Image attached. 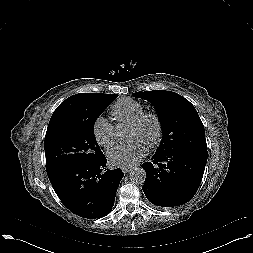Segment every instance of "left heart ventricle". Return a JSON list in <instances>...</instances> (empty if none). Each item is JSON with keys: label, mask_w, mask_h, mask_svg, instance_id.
Returning a JSON list of instances; mask_svg holds the SVG:
<instances>
[{"label": "left heart ventricle", "mask_w": 253, "mask_h": 253, "mask_svg": "<svg viewBox=\"0 0 253 253\" xmlns=\"http://www.w3.org/2000/svg\"><path fill=\"white\" fill-rule=\"evenodd\" d=\"M155 131L154 121L148 119L139 128L129 127L128 139H139L147 145L153 139Z\"/></svg>", "instance_id": "left-heart-ventricle-1"}]
</instances>
